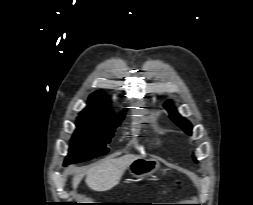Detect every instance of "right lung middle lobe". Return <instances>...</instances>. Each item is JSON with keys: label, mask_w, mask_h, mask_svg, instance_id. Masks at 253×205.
<instances>
[{"label": "right lung middle lobe", "mask_w": 253, "mask_h": 205, "mask_svg": "<svg viewBox=\"0 0 253 205\" xmlns=\"http://www.w3.org/2000/svg\"><path fill=\"white\" fill-rule=\"evenodd\" d=\"M123 118V113L104 118L80 114L65 165L106 154L109 151L106 144L110 142L115 128Z\"/></svg>", "instance_id": "1"}]
</instances>
